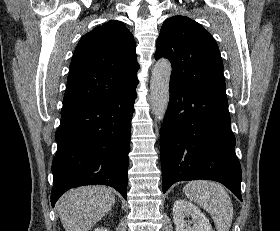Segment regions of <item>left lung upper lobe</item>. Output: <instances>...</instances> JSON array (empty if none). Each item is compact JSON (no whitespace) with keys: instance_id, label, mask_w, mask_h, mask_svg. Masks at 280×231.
<instances>
[{"instance_id":"5c2ea615","label":"left lung upper lobe","mask_w":280,"mask_h":231,"mask_svg":"<svg viewBox=\"0 0 280 231\" xmlns=\"http://www.w3.org/2000/svg\"><path fill=\"white\" fill-rule=\"evenodd\" d=\"M168 58L170 85L226 96L219 48L201 25L185 16L167 19L156 44L155 59Z\"/></svg>"}]
</instances>
